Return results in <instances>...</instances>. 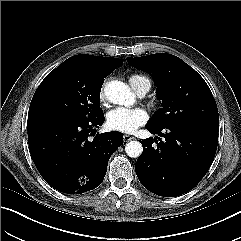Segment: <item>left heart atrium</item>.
<instances>
[{
    "mask_svg": "<svg viewBox=\"0 0 241 241\" xmlns=\"http://www.w3.org/2000/svg\"><path fill=\"white\" fill-rule=\"evenodd\" d=\"M148 119L147 113L141 108L118 107L107 114V125L110 129L133 133Z\"/></svg>",
    "mask_w": 241,
    "mask_h": 241,
    "instance_id": "1",
    "label": "left heart atrium"
}]
</instances>
